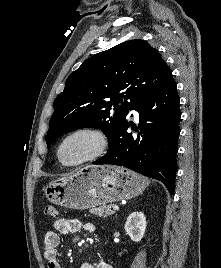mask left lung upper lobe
<instances>
[{
    "mask_svg": "<svg viewBox=\"0 0 221 268\" xmlns=\"http://www.w3.org/2000/svg\"><path fill=\"white\" fill-rule=\"evenodd\" d=\"M172 78L158 51L144 40L125 41L93 55L70 74L54 100L47 147L84 127L101 129L110 141L131 107Z\"/></svg>",
    "mask_w": 221,
    "mask_h": 268,
    "instance_id": "1",
    "label": "left lung upper lobe"
}]
</instances>
